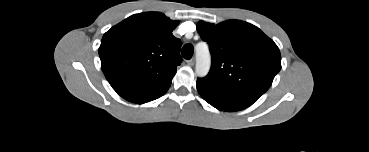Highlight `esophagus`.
I'll return each instance as SVG.
<instances>
[{
	"instance_id": "34e87169",
	"label": "esophagus",
	"mask_w": 369,
	"mask_h": 152,
	"mask_svg": "<svg viewBox=\"0 0 369 152\" xmlns=\"http://www.w3.org/2000/svg\"><path fill=\"white\" fill-rule=\"evenodd\" d=\"M187 64H188L189 66H193V65L195 64V58H192V59L188 60V61H187Z\"/></svg>"
}]
</instances>
